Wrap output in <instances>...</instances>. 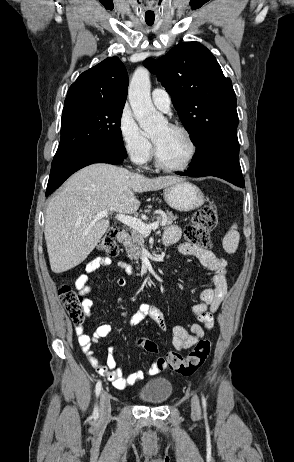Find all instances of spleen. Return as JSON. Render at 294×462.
I'll use <instances>...</instances> for the list:
<instances>
[{
    "instance_id": "3e777b00",
    "label": "spleen",
    "mask_w": 294,
    "mask_h": 462,
    "mask_svg": "<svg viewBox=\"0 0 294 462\" xmlns=\"http://www.w3.org/2000/svg\"><path fill=\"white\" fill-rule=\"evenodd\" d=\"M237 225L234 224L223 238V248L227 253H234L239 244L240 235L237 232Z\"/></svg>"
}]
</instances>
